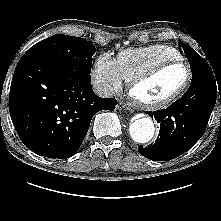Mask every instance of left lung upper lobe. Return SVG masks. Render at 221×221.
<instances>
[{
	"mask_svg": "<svg viewBox=\"0 0 221 221\" xmlns=\"http://www.w3.org/2000/svg\"><path fill=\"white\" fill-rule=\"evenodd\" d=\"M184 49L192 69V80L191 84L200 82L206 78L214 76L208 63L189 45L185 43H179Z\"/></svg>",
	"mask_w": 221,
	"mask_h": 221,
	"instance_id": "obj_1",
	"label": "left lung upper lobe"
}]
</instances>
